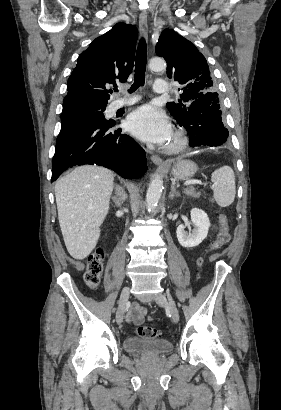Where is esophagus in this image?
Here are the masks:
<instances>
[{"label":"esophagus","mask_w":281,"mask_h":410,"mask_svg":"<svg viewBox=\"0 0 281 410\" xmlns=\"http://www.w3.org/2000/svg\"><path fill=\"white\" fill-rule=\"evenodd\" d=\"M139 30L141 34L147 39L148 37V23H147V13L146 11H141L139 15ZM152 162L159 166V167H164L166 166V162L162 160L158 155H152L151 156Z\"/></svg>","instance_id":"1"}]
</instances>
